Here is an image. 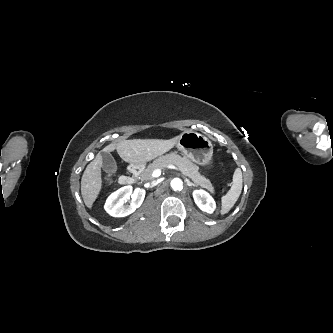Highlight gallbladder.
<instances>
[{
    "label": "gallbladder",
    "mask_w": 333,
    "mask_h": 333,
    "mask_svg": "<svg viewBox=\"0 0 333 333\" xmlns=\"http://www.w3.org/2000/svg\"><path fill=\"white\" fill-rule=\"evenodd\" d=\"M102 169L107 173H116L118 166L115 158L109 152H101Z\"/></svg>",
    "instance_id": "1"
}]
</instances>
